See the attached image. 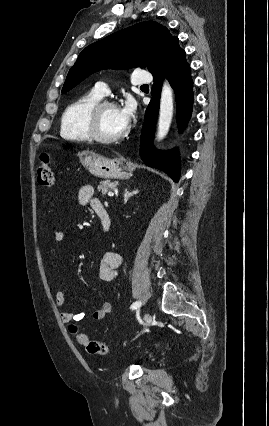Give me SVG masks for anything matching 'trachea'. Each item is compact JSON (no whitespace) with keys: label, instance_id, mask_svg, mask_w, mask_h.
Masks as SVG:
<instances>
[{"label":"trachea","instance_id":"trachea-1","mask_svg":"<svg viewBox=\"0 0 269 426\" xmlns=\"http://www.w3.org/2000/svg\"><path fill=\"white\" fill-rule=\"evenodd\" d=\"M142 87H148V85H144V86H142Z\"/></svg>","mask_w":269,"mask_h":426}]
</instances>
